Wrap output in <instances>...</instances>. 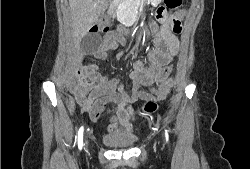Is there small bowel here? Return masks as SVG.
Listing matches in <instances>:
<instances>
[{
    "label": "small bowel",
    "instance_id": "obj_1",
    "mask_svg": "<svg viewBox=\"0 0 250 169\" xmlns=\"http://www.w3.org/2000/svg\"><path fill=\"white\" fill-rule=\"evenodd\" d=\"M163 17L165 19L162 21L165 20V22L162 25L161 35L155 40V46L148 53L149 65L145 67L140 61L134 63L133 72L130 75L132 95L123 87L119 79H108L102 75L95 64L81 65L88 82L75 90V99L92 119L99 116L107 103L111 101L118 103L117 114L110 123V129L113 132L129 134L133 131L136 118L129 106L131 101L150 98L151 95L167 96L171 91L173 63L179 49V43L172 33V28L176 22H179V17L169 15H163ZM116 39L112 35L104 37L90 55L97 60L105 61L108 51L116 48ZM116 57L121 59L123 52H118ZM153 83H156L158 88L152 89L150 93L139 90L141 84Z\"/></svg>",
    "mask_w": 250,
    "mask_h": 169
}]
</instances>
